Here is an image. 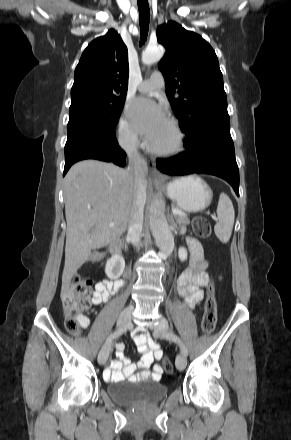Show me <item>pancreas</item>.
Masks as SVG:
<instances>
[{"instance_id": "1", "label": "pancreas", "mask_w": 291, "mask_h": 440, "mask_svg": "<svg viewBox=\"0 0 291 440\" xmlns=\"http://www.w3.org/2000/svg\"><path fill=\"white\" fill-rule=\"evenodd\" d=\"M175 219H176V222L178 223V224H186V225H188L189 224V219H188V217L187 216H179V215H176L175 216Z\"/></svg>"}]
</instances>
